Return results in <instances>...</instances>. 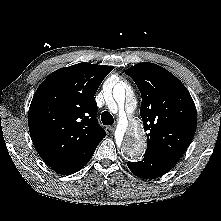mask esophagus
<instances>
[{
  "label": "esophagus",
  "mask_w": 221,
  "mask_h": 221,
  "mask_svg": "<svg viewBox=\"0 0 221 221\" xmlns=\"http://www.w3.org/2000/svg\"><path fill=\"white\" fill-rule=\"evenodd\" d=\"M115 128H116V126L112 125V126H109L108 129H109L110 132H114Z\"/></svg>",
  "instance_id": "1"
}]
</instances>
